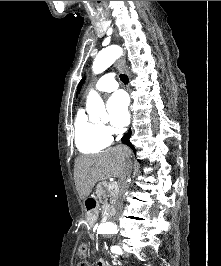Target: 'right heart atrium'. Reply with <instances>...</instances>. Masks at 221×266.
Masks as SVG:
<instances>
[{"instance_id": "1", "label": "right heart atrium", "mask_w": 221, "mask_h": 266, "mask_svg": "<svg viewBox=\"0 0 221 266\" xmlns=\"http://www.w3.org/2000/svg\"><path fill=\"white\" fill-rule=\"evenodd\" d=\"M103 131L105 133V135L110 138L111 134H112V130L111 128H109L108 126H103Z\"/></svg>"}]
</instances>
